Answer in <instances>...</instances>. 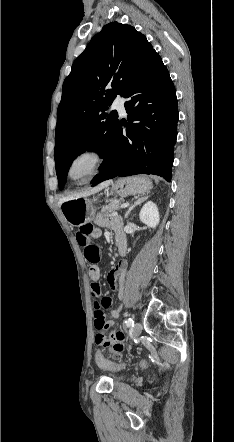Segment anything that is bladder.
Returning a JSON list of instances; mask_svg holds the SVG:
<instances>
[{"mask_svg":"<svg viewBox=\"0 0 234 442\" xmlns=\"http://www.w3.org/2000/svg\"><path fill=\"white\" fill-rule=\"evenodd\" d=\"M122 378H124V375H123V374H119V375L116 376V379H117V380H120V379H122Z\"/></svg>","mask_w":234,"mask_h":442,"instance_id":"bladder-1","label":"bladder"}]
</instances>
